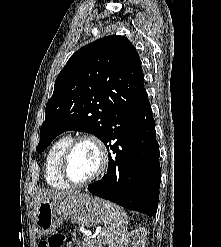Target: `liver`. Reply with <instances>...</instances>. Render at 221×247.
<instances>
[{"label":"liver","mask_w":221,"mask_h":247,"mask_svg":"<svg viewBox=\"0 0 221 247\" xmlns=\"http://www.w3.org/2000/svg\"><path fill=\"white\" fill-rule=\"evenodd\" d=\"M76 194H78L77 191L40 193L36 197V205L38 206L41 202H61L75 196Z\"/></svg>","instance_id":"obj_1"}]
</instances>
